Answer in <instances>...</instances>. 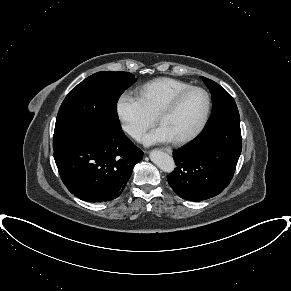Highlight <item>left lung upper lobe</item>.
I'll use <instances>...</instances> for the list:
<instances>
[{
    "label": "left lung upper lobe",
    "instance_id": "5c2ea615",
    "mask_svg": "<svg viewBox=\"0 0 291 291\" xmlns=\"http://www.w3.org/2000/svg\"><path fill=\"white\" fill-rule=\"evenodd\" d=\"M212 94L213 109L202 134L225 125L240 126V116L234 99L216 82L201 77Z\"/></svg>",
    "mask_w": 291,
    "mask_h": 291
}]
</instances>
